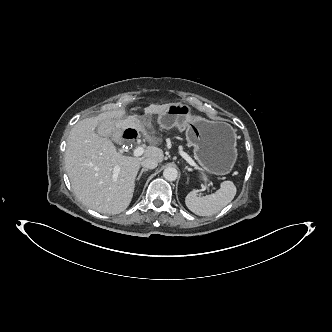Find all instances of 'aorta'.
Listing matches in <instances>:
<instances>
[{"mask_svg":"<svg viewBox=\"0 0 332 332\" xmlns=\"http://www.w3.org/2000/svg\"><path fill=\"white\" fill-rule=\"evenodd\" d=\"M163 177L167 181H175L178 177V171L174 167H167L163 171Z\"/></svg>","mask_w":332,"mask_h":332,"instance_id":"aorta-1","label":"aorta"}]
</instances>
